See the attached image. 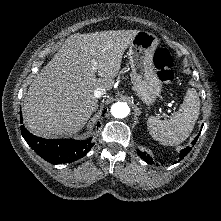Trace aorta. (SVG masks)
I'll list each match as a JSON object with an SVG mask.
<instances>
[{"label": "aorta", "mask_w": 221, "mask_h": 221, "mask_svg": "<svg viewBox=\"0 0 221 221\" xmlns=\"http://www.w3.org/2000/svg\"><path fill=\"white\" fill-rule=\"evenodd\" d=\"M129 113H130V108L126 103L117 102L111 106V114L115 118L119 119L125 118L129 115Z\"/></svg>", "instance_id": "1"}]
</instances>
